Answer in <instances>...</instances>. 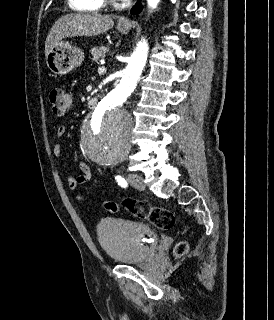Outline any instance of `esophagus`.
Masks as SVG:
<instances>
[{
    "label": "esophagus",
    "instance_id": "obj_1",
    "mask_svg": "<svg viewBox=\"0 0 274 320\" xmlns=\"http://www.w3.org/2000/svg\"><path fill=\"white\" fill-rule=\"evenodd\" d=\"M120 23L123 24V25H127V24H128V21L125 20V19H121V20H120Z\"/></svg>",
    "mask_w": 274,
    "mask_h": 320
}]
</instances>
